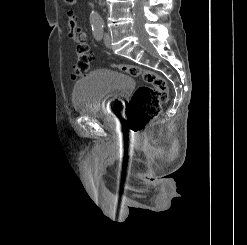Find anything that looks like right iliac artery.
Wrapping results in <instances>:
<instances>
[{
  "mask_svg": "<svg viewBox=\"0 0 247 245\" xmlns=\"http://www.w3.org/2000/svg\"><path fill=\"white\" fill-rule=\"evenodd\" d=\"M93 35L97 41L102 40L103 38V25L92 27Z\"/></svg>",
  "mask_w": 247,
  "mask_h": 245,
  "instance_id": "82829eb1",
  "label": "right iliac artery"
}]
</instances>
